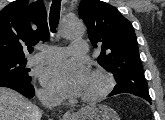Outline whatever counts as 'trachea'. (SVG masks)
Listing matches in <instances>:
<instances>
[{
    "instance_id": "obj_1",
    "label": "trachea",
    "mask_w": 165,
    "mask_h": 120,
    "mask_svg": "<svg viewBox=\"0 0 165 120\" xmlns=\"http://www.w3.org/2000/svg\"><path fill=\"white\" fill-rule=\"evenodd\" d=\"M61 0H53L49 14V25L52 33L56 32V28L60 19Z\"/></svg>"
}]
</instances>
